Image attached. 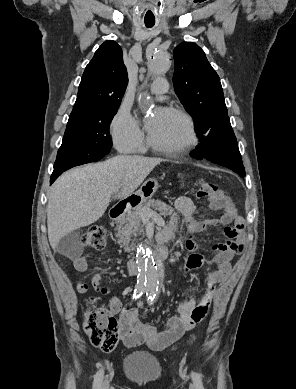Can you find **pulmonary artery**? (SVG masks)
<instances>
[{
	"mask_svg": "<svg viewBox=\"0 0 296 389\" xmlns=\"http://www.w3.org/2000/svg\"><path fill=\"white\" fill-rule=\"evenodd\" d=\"M168 90V83L165 78H156L150 85V91L154 94H163Z\"/></svg>",
	"mask_w": 296,
	"mask_h": 389,
	"instance_id": "pulmonary-artery-1",
	"label": "pulmonary artery"
}]
</instances>
